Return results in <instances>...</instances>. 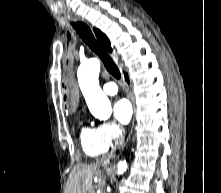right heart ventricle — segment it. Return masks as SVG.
Returning a JSON list of instances; mask_svg holds the SVG:
<instances>
[{"mask_svg":"<svg viewBox=\"0 0 221 193\" xmlns=\"http://www.w3.org/2000/svg\"><path fill=\"white\" fill-rule=\"evenodd\" d=\"M83 151L90 157H97L107 153L112 145L106 143L100 136L97 128L85 126L80 134Z\"/></svg>","mask_w":221,"mask_h":193,"instance_id":"e07e8e85","label":"right heart ventricle"}]
</instances>
